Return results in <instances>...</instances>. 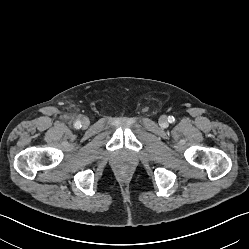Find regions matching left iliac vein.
I'll return each instance as SVG.
<instances>
[{
  "instance_id": "1",
  "label": "left iliac vein",
  "mask_w": 249,
  "mask_h": 249,
  "mask_svg": "<svg viewBox=\"0 0 249 249\" xmlns=\"http://www.w3.org/2000/svg\"><path fill=\"white\" fill-rule=\"evenodd\" d=\"M159 124L161 127L166 128L168 126V120L166 116H161L159 118Z\"/></svg>"
}]
</instances>
